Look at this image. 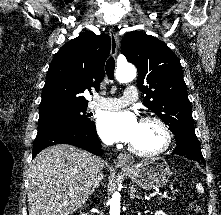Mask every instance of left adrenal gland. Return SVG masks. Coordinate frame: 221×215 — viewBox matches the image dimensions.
<instances>
[{
    "instance_id": "a2214340",
    "label": "left adrenal gland",
    "mask_w": 221,
    "mask_h": 215,
    "mask_svg": "<svg viewBox=\"0 0 221 215\" xmlns=\"http://www.w3.org/2000/svg\"><path fill=\"white\" fill-rule=\"evenodd\" d=\"M130 198H131V199H135V198L140 199V198H141V196H138V195L135 194L134 187H131V188H130Z\"/></svg>"
}]
</instances>
